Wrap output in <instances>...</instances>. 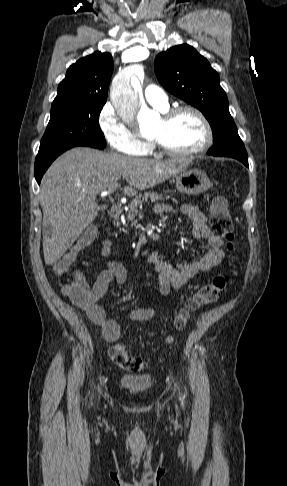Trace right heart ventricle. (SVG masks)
<instances>
[{"label": "right heart ventricle", "mask_w": 287, "mask_h": 486, "mask_svg": "<svg viewBox=\"0 0 287 486\" xmlns=\"http://www.w3.org/2000/svg\"><path fill=\"white\" fill-rule=\"evenodd\" d=\"M150 151V147L148 146L147 149L144 151V153H147Z\"/></svg>", "instance_id": "e07e8e85"}]
</instances>
